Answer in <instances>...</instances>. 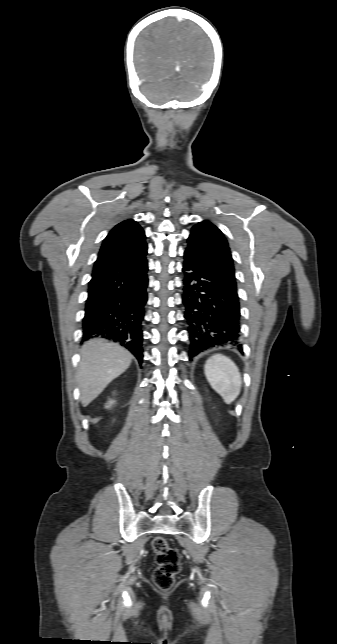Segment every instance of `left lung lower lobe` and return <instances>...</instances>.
Wrapping results in <instances>:
<instances>
[{"label": "left lung lower lobe", "instance_id": "obj_1", "mask_svg": "<svg viewBox=\"0 0 337 644\" xmlns=\"http://www.w3.org/2000/svg\"><path fill=\"white\" fill-rule=\"evenodd\" d=\"M182 272L190 358L220 346H237L242 352L237 290L210 265L188 253H184Z\"/></svg>", "mask_w": 337, "mask_h": 644}]
</instances>
